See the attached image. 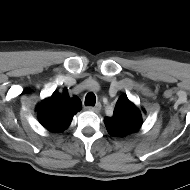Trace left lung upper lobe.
Instances as JSON below:
<instances>
[{
  "label": "left lung upper lobe",
  "instance_id": "left-lung-upper-lobe-1",
  "mask_svg": "<svg viewBox=\"0 0 190 190\" xmlns=\"http://www.w3.org/2000/svg\"><path fill=\"white\" fill-rule=\"evenodd\" d=\"M104 123L110 135L124 137L141 128L142 115L127 96L122 95L116 103L113 116L106 117Z\"/></svg>",
  "mask_w": 190,
  "mask_h": 190
}]
</instances>
